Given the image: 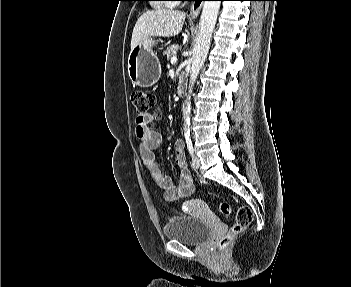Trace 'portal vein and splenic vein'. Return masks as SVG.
Wrapping results in <instances>:
<instances>
[{
    "label": "portal vein and splenic vein",
    "instance_id": "18ae733b",
    "mask_svg": "<svg viewBox=\"0 0 351 287\" xmlns=\"http://www.w3.org/2000/svg\"><path fill=\"white\" fill-rule=\"evenodd\" d=\"M176 61H177V57H176V56H173V57L171 58V64L176 63Z\"/></svg>",
    "mask_w": 351,
    "mask_h": 287
}]
</instances>
